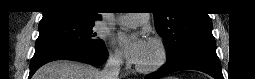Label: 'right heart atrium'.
<instances>
[{
	"label": "right heart atrium",
	"mask_w": 255,
	"mask_h": 79,
	"mask_svg": "<svg viewBox=\"0 0 255 79\" xmlns=\"http://www.w3.org/2000/svg\"><path fill=\"white\" fill-rule=\"evenodd\" d=\"M109 59L114 64H121L122 63V56L120 52L116 49H111L109 52Z\"/></svg>",
	"instance_id": "obj_1"
}]
</instances>
